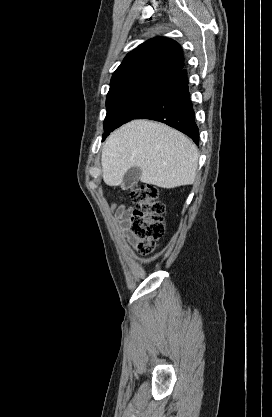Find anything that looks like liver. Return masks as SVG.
I'll use <instances>...</instances> for the list:
<instances>
[{
	"label": "liver",
	"instance_id": "obj_1",
	"mask_svg": "<svg viewBox=\"0 0 272 417\" xmlns=\"http://www.w3.org/2000/svg\"><path fill=\"white\" fill-rule=\"evenodd\" d=\"M199 153L184 134L162 123L133 120L109 135L102 148V177L119 186L132 167L141 182L161 188L193 184Z\"/></svg>",
	"mask_w": 272,
	"mask_h": 417
}]
</instances>
